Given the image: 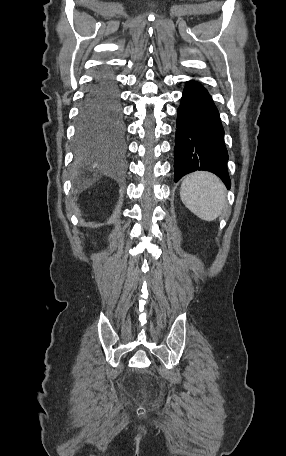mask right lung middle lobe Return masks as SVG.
<instances>
[{"label":"right lung middle lobe","instance_id":"dd1d6c3e","mask_svg":"<svg viewBox=\"0 0 286 456\" xmlns=\"http://www.w3.org/2000/svg\"><path fill=\"white\" fill-rule=\"evenodd\" d=\"M121 129L122 125L105 127L104 125L96 122H87L80 125V133L83 136L97 135L106 132L107 130L119 133Z\"/></svg>","mask_w":286,"mask_h":456}]
</instances>
